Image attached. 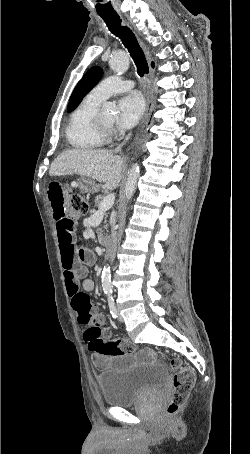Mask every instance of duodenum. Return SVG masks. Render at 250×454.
Masks as SVG:
<instances>
[{"instance_id": "obj_1", "label": "duodenum", "mask_w": 250, "mask_h": 454, "mask_svg": "<svg viewBox=\"0 0 250 454\" xmlns=\"http://www.w3.org/2000/svg\"><path fill=\"white\" fill-rule=\"evenodd\" d=\"M102 246L106 251L110 250L112 246V238L110 236H104L102 238Z\"/></svg>"}]
</instances>
